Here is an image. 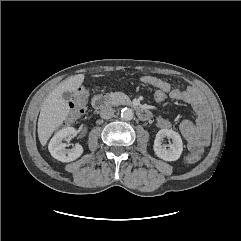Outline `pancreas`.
Wrapping results in <instances>:
<instances>
[{"label": "pancreas", "mask_w": 241, "mask_h": 241, "mask_svg": "<svg viewBox=\"0 0 241 241\" xmlns=\"http://www.w3.org/2000/svg\"><path fill=\"white\" fill-rule=\"evenodd\" d=\"M110 102L113 105L123 104L126 100H128V96L122 92H114L109 94Z\"/></svg>", "instance_id": "pancreas-1"}]
</instances>
